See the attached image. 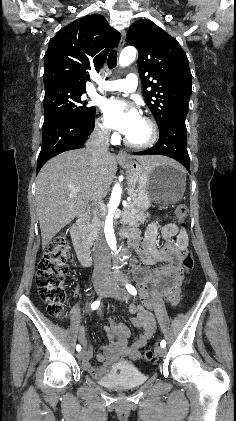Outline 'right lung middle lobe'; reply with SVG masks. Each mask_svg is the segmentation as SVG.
Returning <instances> with one entry per match:
<instances>
[{
	"instance_id": "obj_1",
	"label": "right lung middle lobe",
	"mask_w": 236,
	"mask_h": 421,
	"mask_svg": "<svg viewBox=\"0 0 236 421\" xmlns=\"http://www.w3.org/2000/svg\"><path fill=\"white\" fill-rule=\"evenodd\" d=\"M84 90H71L58 87L45 88L44 123L66 117L78 122H88L95 114L94 107H86L82 95Z\"/></svg>"
}]
</instances>
